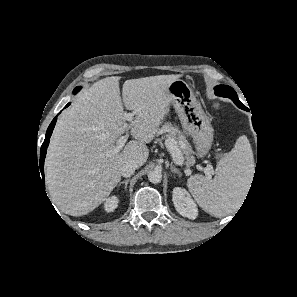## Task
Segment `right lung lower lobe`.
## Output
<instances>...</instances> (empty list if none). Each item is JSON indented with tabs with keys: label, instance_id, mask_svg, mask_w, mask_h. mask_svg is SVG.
I'll return each instance as SVG.
<instances>
[{
	"label": "right lung lower lobe",
	"instance_id": "98d812e1",
	"mask_svg": "<svg viewBox=\"0 0 297 297\" xmlns=\"http://www.w3.org/2000/svg\"><path fill=\"white\" fill-rule=\"evenodd\" d=\"M77 93V92H75ZM74 93V94H75ZM69 104L66 105V107L68 106ZM56 120H57V117H55L51 124L49 125L48 129H47V132H46V136H45V140L41 146V150H40V161H39V166L38 168L40 169V173L42 175V182L44 184V169H43V166H44V159H45V155H46V152H47V147H48V144H49V140H50V136L53 132V129H54V126L56 124ZM41 178V177H40Z\"/></svg>",
	"mask_w": 297,
	"mask_h": 297
}]
</instances>
